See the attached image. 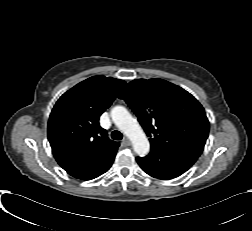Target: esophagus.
<instances>
[{
    "instance_id": "1",
    "label": "esophagus",
    "mask_w": 252,
    "mask_h": 231,
    "mask_svg": "<svg viewBox=\"0 0 252 231\" xmlns=\"http://www.w3.org/2000/svg\"><path fill=\"white\" fill-rule=\"evenodd\" d=\"M123 144L126 145V146H129L131 144L130 140L128 137H124L123 138Z\"/></svg>"
}]
</instances>
